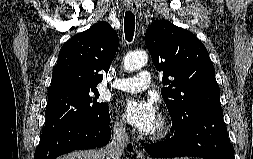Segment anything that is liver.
<instances>
[{
  "mask_svg": "<svg viewBox=\"0 0 253 159\" xmlns=\"http://www.w3.org/2000/svg\"><path fill=\"white\" fill-rule=\"evenodd\" d=\"M57 159H106V150L104 148L74 151Z\"/></svg>",
  "mask_w": 253,
  "mask_h": 159,
  "instance_id": "6515ba94",
  "label": "liver"
}]
</instances>
